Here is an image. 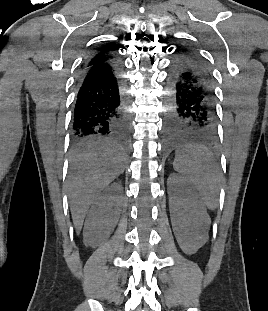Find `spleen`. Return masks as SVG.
I'll return each instance as SVG.
<instances>
[{
    "label": "spleen",
    "instance_id": "spleen-1",
    "mask_svg": "<svg viewBox=\"0 0 268 311\" xmlns=\"http://www.w3.org/2000/svg\"><path fill=\"white\" fill-rule=\"evenodd\" d=\"M173 166L196 186L208 209L217 208L220 168H215L218 166L215 152L194 146L182 148L176 152Z\"/></svg>",
    "mask_w": 268,
    "mask_h": 311
}]
</instances>
